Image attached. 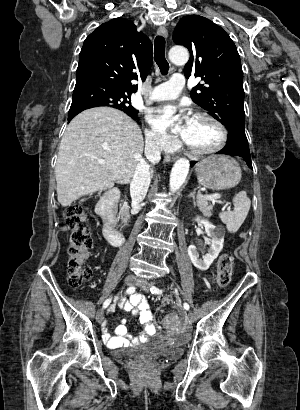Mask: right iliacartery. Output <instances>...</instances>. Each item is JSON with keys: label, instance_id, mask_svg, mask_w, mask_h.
<instances>
[{"label": "right iliac artery", "instance_id": "obj_1", "mask_svg": "<svg viewBox=\"0 0 300 410\" xmlns=\"http://www.w3.org/2000/svg\"><path fill=\"white\" fill-rule=\"evenodd\" d=\"M135 290H136V288H135L134 286H131V287L127 288L126 293H127V294H132V293L135 292ZM110 303H111V298L107 299V300L104 302L103 308H104V309L107 308Z\"/></svg>", "mask_w": 300, "mask_h": 410}]
</instances>
